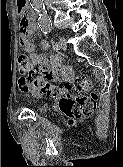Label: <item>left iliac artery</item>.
<instances>
[{
    "label": "left iliac artery",
    "instance_id": "44dca946",
    "mask_svg": "<svg viewBox=\"0 0 123 167\" xmlns=\"http://www.w3.org/2000/svg\"><path fill=\"white\" fill-rule=\"evenodd\" d=\"M50 31H51V30L49 29V31H48V32H50ZM54 48H55V49H59V48H60V45H59V43H58V42H56V43H55Z\"/></svg>",
    "mask_w": 123,
    "mask_h": 167
}]
</instances>
